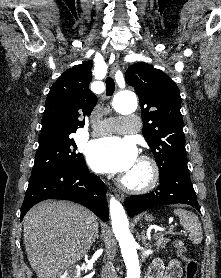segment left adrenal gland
<instances>
[{
	"instance_id": "1",
	"label": "left adrenal gland",
	"mask_w": 221,
	"mask_h": 278,
	"mask_svg": "<svg viewBox=\"0 0 221 278\" xmlns=\"http://www.w3.org/2000/svg\"><path fill=\"white\" fill-rule=\"evenodd\" d=\"M141 238H142L143 244H145L146 246H150L149 242H147V237H146V231L145 230L142 231Z\"/></svg>"
}]
</instances>
